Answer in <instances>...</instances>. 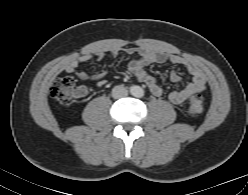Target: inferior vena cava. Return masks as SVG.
Segmentation results:
<instances>
[{
  "label": "inferior vena cava",
  "instance_id": "1",
  "mask_svg": "<svg viewBox=\"0 0 248 195\" xmlns=\"http://www.w3.org/2000/svg\"><path fill=\"white\" fill-rule=\"evenodd\" d=\"M127 95H128V90L122 85L115 86L112 89V97L114 99H120L126 97Z\"/></svg>",
  "mask_w": 248,
  "mask_h": 195
}]
</instances>
